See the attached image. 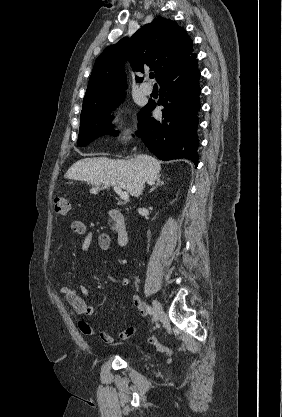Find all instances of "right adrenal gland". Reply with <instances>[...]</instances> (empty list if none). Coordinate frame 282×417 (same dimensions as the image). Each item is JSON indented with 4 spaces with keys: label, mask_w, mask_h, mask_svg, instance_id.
Listing matches in <instances>:
<instances>
[{
    "label": "right adrenal gland",
    "mask_w": 282,
    "mask_h": 417,
    "mask_svg": "<svg viewBox=\"0 0 282 417\" xmlns=\"http://www.w3.org/2000/svg\"><path fill=\"white\" fill-rule=\"evenodd\" d=\"M148 184H151L152 188H150L149 192H153L154 188H157V186H161V184H164V180L160 178V176H157L155 182H148Z\"/></svg>",
    "instance_id": "2a0ac1e0"
}]
</instances>
